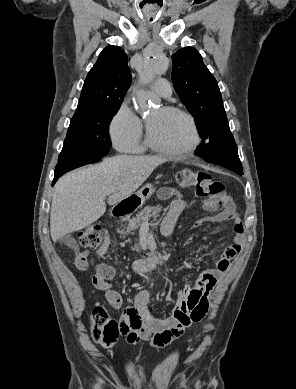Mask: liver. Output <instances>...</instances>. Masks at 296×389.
<instances>
[{"mask_svg": "<svg viewBox=\"0 0 296 389\" xmlns=\"http://www.w3.org/2000/svg\"><path fill=\"white\" fill-rule=\"evenodd\" d=\"M166 159L157 156L118 155L72 171L55 184L50 233L53 242L97 221L114 205L132 195Z\"/></svg>", "mask_w": 296, "mask_h": 389, "instance_id": "6515ba94", "label": "liver"}]
</instances>
